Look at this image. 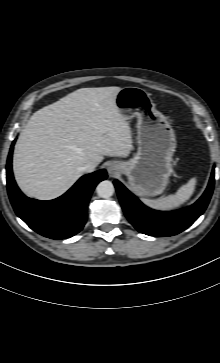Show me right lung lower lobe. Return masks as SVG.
<instances>
[{
    "label": "right lung lower lobe",
    "instance_id": "1",
    "mask_svg": "<svg viewBox=\"0 0 220 363\" xmlns=\"http://www.w3.org/2000/svg\"><path fill=\"white\" fill-rule=\"evenodd\" d=\"M13 141L7 160V189L16 214L34 231L51 238L65 239L77 234L87 219V205L95 186L106 179L102 169L82 176L75 185L61 197L40 201L26 197L13 178L11 161Z\"/></svg>",
    "mask_w": 220,
    "mask_h": 363
}]
</instances>
